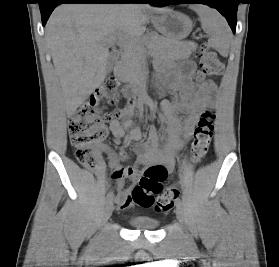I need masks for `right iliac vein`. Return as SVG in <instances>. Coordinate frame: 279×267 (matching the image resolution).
<instances>
[{
  "label": "right iliac vein",
  "mask_w": 279,
  "mask_h": 267,
  "mask_svg": "<svg viewBox=\"0 0 279 267\" xmlns=\"http://www.w3.org/2000/svg\"><path fill=\"white\" fill-rule=\"evenodd\" d=\"M113 212V203L108 202L103 214V222H106L112 215Z\"/></svg>",
  "instance_id": "1"
}]
</instances>
